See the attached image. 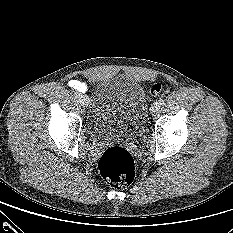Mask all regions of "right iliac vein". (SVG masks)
I'll return each mask as SVG.
<instances>
[{
    "instance_id": "63e3f726",
    "label": "right iliac vein",
    "mask_w": 233,
    "mask_h": 233,
    "mask_svg": "<svg viewBox=\"0 0 233 233\" xmlns=\"http://www.w3.org/2000/svg\"><path fill=\"white\" fill-rule=\"evenodd\" d=\"M79 101H80V103H81V105L82 106H88V104H89V99H88V97L87 96H85V95H81L80 97H79Z\"/></svg>"
}]
</instances>
